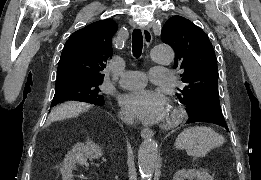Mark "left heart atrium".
<instances>
[{"label": "left heart atrium", "mask_w": 261, "mask_h": 180, "mask_svg": "<svg viewBox=\"0 0 261 180\" xmlns=\"http://www.w3.org/2000/svg\"><path fill=\"white\" fill-rule=\"evenodd\" d=\"M123 110L141 120H156L164 112L167 97L160 90L135 89L121 96Z\"/></svg>", "instance_id": "39dd6f15"}]
</instances>
